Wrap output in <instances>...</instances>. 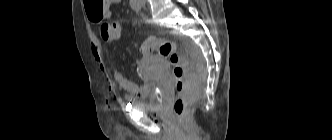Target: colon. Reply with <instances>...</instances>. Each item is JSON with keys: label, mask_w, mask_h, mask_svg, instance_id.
<instances>
[{"label": "colon", "mask_w": 332, "mask_h": 140, "mask_svg": "<svg viewBox=\"0 0 332 140\" xmlns=\"http://www.w3.org/2000/svg\"><path fill=\"white\" fill-rule=\"evenodd\" d=\"M106 0H84L88 17L99 22L103 18ZM100 32L109 38L119 39L124 26L121 22L103 23ZM143 54L157 52L161 57L167 58L172 68L176 98L174 112L181 123L185 122L190 113L195 99L192 95L193 76L187 57L176 50L175 44L168 39L149 37L141 45Z\"/></svg>", "instance_id": "colon-1"}]
</instances>
